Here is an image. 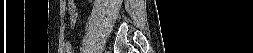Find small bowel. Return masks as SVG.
<instances>
[{
	"label": "small bowel",
	"mask_w": 253,
	"mask_h": 53,
	"mask_svg": "<svg viewBox=\"0 0 253 53\" xmlns=\"http://www.w3.org/2000/svg\"><path fill=\"white\" fill-rule=\"evenodd\" d=\"M69 15H70V25L72 27H74L76 24V21H77V11H76L73 1L69 2ZM64 48H65L66 52L71 51L72 50V43L70 41H66L64 43Z\"/></svg>",
	"instance_id": "obj_1"
}]
</instances>
